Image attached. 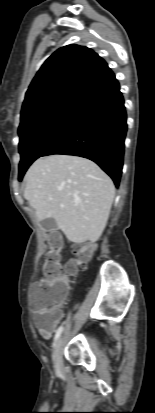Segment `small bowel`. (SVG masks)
<instances>
[{"label":"small bowel","instance_id":"small-bowel-1","mask_svg":"<svg viewBox=\"0 0 155 413\" xmlns=\"http://www.w3.org/2000/svg\"><path fill=\"white\" fill-rule=\"evenodd\" d=\"M44 290V286L40 283L36 284L31 291V304L32 308L34 305L35 298L38 293ZM33 314L35 316V324L42 337L45 339H50L56 327L63 318V312L58 306L54 311H49L46 313H39L33 309Z\"/></svg>","mask_w":155,"mask_h":413}]
</instances>
